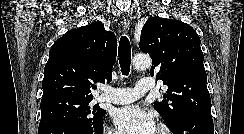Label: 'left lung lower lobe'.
Returning a JSON list of instances; mask_svg holds the SVG:
<instances>
[{
  "instance_id": "1",
  "label": "left lung lower lobe",
  "mask_w": 244,
  "mask_h": 134,
  "mask_svg": "<svg viewBox=\"0 0 244 134\" xmlns=\"http://www.w3.org/2000/svg\"><path fill=\"white\" fill-rule=\"evenodd\" d=\"M169 129L173 134H214L212 117L194 113L181 116Z\"/></svg>"
}]
</instances>
